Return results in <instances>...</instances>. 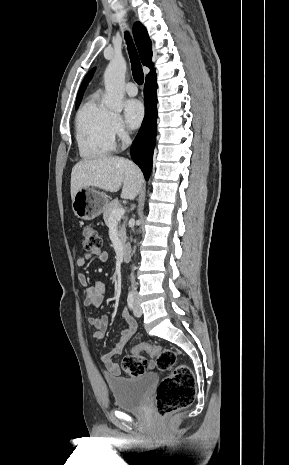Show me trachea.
<instances>
[{"label": "trachea", "instance_id": "3493384b", "mask_svg": "<svg viewBox=\"0 0 289 465\" xmlns=\"http://www.w3.org/2000/svg\"><path fill=\"white\" fill-rule=\"evenodd\" d=\"M125 40L128 45L127 49L131 60L133 78L138 85H141L144 81L143 69L138 53L134 47V44L132 43L131 36L128 32L125 33Z\"/></svg>", "mask_w": 289, "mask_h": 465}]
</instances>
